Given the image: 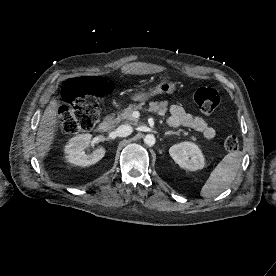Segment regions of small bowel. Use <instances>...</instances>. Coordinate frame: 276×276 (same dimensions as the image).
Segmentation results:
<instances>
[{"instance_id":"c3829d8e","label":"small bowel","mask_w":276,"mask_h":276,"mask_svg":"<svg viewBox=\"0 0 276 276\" xmlns=\"http://www.w3.org/2000/svg\"><path fill=\"white\" fill-rule=\"evenodd\" d=\"M168 123L171 126H186L200 132L206 139L211 140L216 136V130L213 126L216 120L212 123L202 117L193 116L185 111L180 105H171L169 107Z\"/></svg>"}]
</instances>
